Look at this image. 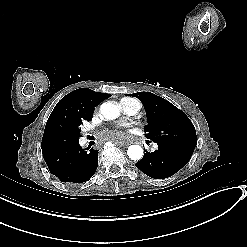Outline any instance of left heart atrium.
<instances>
[{
    "label": "left heart atrium",
    "mask_w": 247,
    "mask_h": 247,
    "mask_svg": "<svg viewBox=\"0 0 247 247\" xmlns=\"http://www.w3.org/2000/svg\"><path fill=\"white\" fill-rule=\"evenodd\" d=\"M102 134L104 138V144H111L114 146H127L131 148L129 135L124 132L119 126H117L115 129L102 130Z\"/></svg>",
    "instance_id": "39dd6f15"
}]
</instances>
